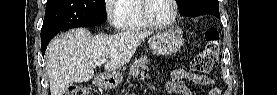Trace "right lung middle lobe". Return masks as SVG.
Listing matches in <instances>:
<instances>
[{
  "mask_svg": "<svg viewBox=\"0 0 277 95\" xmlns=\"http://www.w3.org/2000/svg\"><path fill=\"white\" fill-rule=\"evenodd\" d=\"M104 0H47L41 35L96 26L106 20Z\"/></svg>",
  "mask_w": 277,
  "mask_h": 95,
  "instance_id": "dd1d6c3e",
  "label": "right lung middle lobe"
}]
</instances>
